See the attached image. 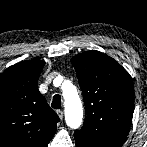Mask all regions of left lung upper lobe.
<instances>
[{
	"label": "left lung upper lobe",
	"mask_w": 147,
	"mask_h": 147,
	"mask_svg": "<svg viewBox=\"0 0 147 147\" xmlns=\"http://www.w3.org/2000/svg\"><path fill=\"white\" fill-rule=\"evenodd\" d=\"M85 103V121L74 133L77 147H121L134 111L129 73L113 58L90 50L71 59Z\"/></svg>",
	"instance_id": "left-lung-upper-lobe-1"
}]
</instances>
